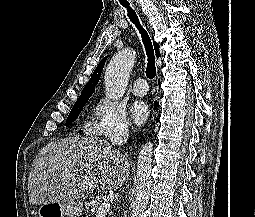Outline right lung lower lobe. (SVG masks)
Wrapping results in <instances>:
<instances>
[{
    "label": "right lung lower lobe",
    "mask_w": 255,
    "mask_h": 217,
    "mask_svg": "<svg viewBox=\"0 0 255 217\" xmlns=\"http://www.w3.org/2000/svg\"><path fill=\"white\" fill-rule=\"evenodd\" d=\"M157 106V102H155V107Z\"/></svg>",
    "instance_id": "98d812e1"
}]
</instances>
